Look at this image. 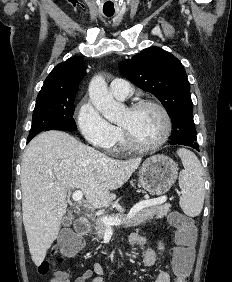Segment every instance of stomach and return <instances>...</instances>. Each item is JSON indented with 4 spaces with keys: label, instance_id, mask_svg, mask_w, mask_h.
I'll return each instance as SVG.
<instances>
[{
    "label": "stomach",
    "instance_id": "stomach-1",
    "mask_svg": "<svg viewBox=\"0 0 232 282\" xmlns=\"http://www.w3.org/2000/svg\"><path fill=\"white\" fill-rule=\"evenodd\" d=\"M177 177V164L168 156L160 154L147 158L138 171L140 185L151 195L166 193Z\"/></svg>",
    "mask_w": 232,
    "mask_h": 282
}]
</instances>
